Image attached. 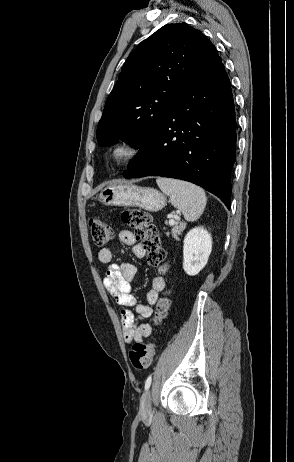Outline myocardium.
Returning <instances> with one entry per match:
<instances>
[{
    "label": "myocardium",
    "mask_w": 294,
    "mask_h": 462,
    "mask_svg": "<svg viewBox=\"0 0 294 462\" xmlns=\"http://www.w3.org/2000/svg\"><path fill=\"white\" fill-rule=\"evenodd\" d=\"M141 145L132 138H121L112 143L105 152V161L112 169L129 165L141 153Z\"/></svg>",
    "instance_id": "obj_1"
}]
</instances>
